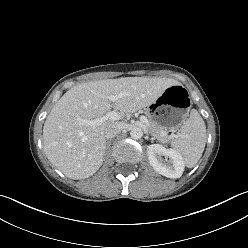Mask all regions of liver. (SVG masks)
Returning <instances> with one entry per match:
<instances>
[{
  "instance_id": "obj_1",
  "label": "liver",
  "mask_w": 248,
  "mask_h": 248,
  "mask_svg": "<svg viewBox=\"0 0 248 248\" xmlns=\"http://www.w3.org/2000/svg\"><path fill=\"white\" fill-rule=\"evenodd\" d=\"M176 80L160 77H122L90 81L68 90L54 105L43 127L44 151L49 161L68 178L92 176L102 165L107 140L105 129L118 121L98 126L82 125L114 108L121 119L152 104ZM126 95L112 102L110 95Z\"/></svg>"
}]
</instances>
